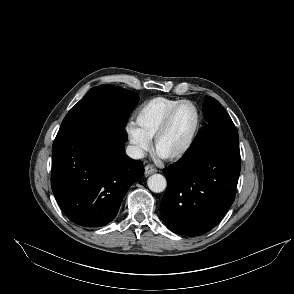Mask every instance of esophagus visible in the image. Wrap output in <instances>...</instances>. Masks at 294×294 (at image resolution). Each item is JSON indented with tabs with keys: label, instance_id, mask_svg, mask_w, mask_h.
Masks as SVG:
<instances>
[{
	"label": "esophagus",
	"instance_id": "34e87169",
	"mask_svg": "<svg viewBox=\"0 0 294 294\" xmlns=\"http://www.w3.org/2000/svg\"><path fill=\"white\" fill-rule=\"evenodd\" d=\"M144 169H145L146 176L151 175L157 171L156 168L150 164L146 165Z\"/></svg>",
	"mask_w": 294,
	"mask_h": 294
}]
</instances>
